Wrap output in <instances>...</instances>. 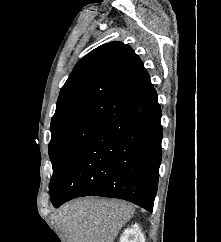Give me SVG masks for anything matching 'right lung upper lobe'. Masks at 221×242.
I'll return each instance as SVG.
<instances>
[{"instance_id": "cb5924a9", "label": "right lung upper lobe", "mask_w": 221, "mask_h": 242, "mask_svg": "<svg viewBox=\"0 0 221 242\" xmlns=\"http://www.w3.org/2000/svg\"><path fill=\"white\" fill-rule=\"evenodd\" d=\"M143 62L128 45L99 46L74 67L60 91L51 129L82 121H104L152 87Z\"/></svg>"}]
</instances>
